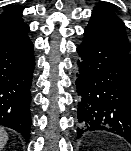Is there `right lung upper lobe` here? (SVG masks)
<instances>
[{
	"label": "right lung upper lobe",
	"instance_id": "obj_1",
	"mask_svg": "<svg viewBox=\"0 0 131 151\" xmlns=\"http://www.w3.org/2000/svg\"><path fill=\"white\" fill-rule=\"evenodd\" d=\"M22 10L12 7L0 14V35L16 34L29 30L22 18Z\"/></svg>",
	"mask_w": 131,
	"mask_h": 151
}]
</instances>
